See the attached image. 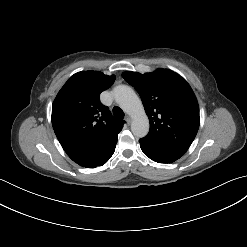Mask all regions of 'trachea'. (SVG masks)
<instances>
[{
	"label": "trachea",
	"mask_w": 247,
	"mask_h": 247,
	"mask_svg": "<svg viewBox=\"0 0 247 247\" xmlns=\"http://www.w3.org/2000/svg\"><path fill=\"white\" fill-rule=\"evenodd\" d=\"M113 114L115 117L120 118V119L124 118L125 116L124 112L117 106L113 108Z\"/></svg>",
	"instance_id": "3493384b"
}]
</instances>
